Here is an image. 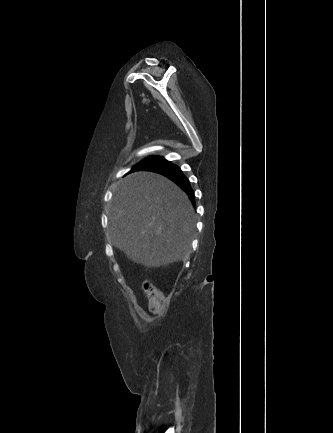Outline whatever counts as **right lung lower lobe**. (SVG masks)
Returning a JSON list of instances; mask_svg holds the SVG:
<instances>
[{"label": "right lung lower lobe", "instance_id": "obj_1", "mask_svg": "<svg viewBox=\"0 0 333 433\" xmlns=\"http://www.w3.org/2000/svg\"><path fill=\"white\" fill-rule=\"evenodd\" d=\"M137 170H150L166 176L171 181L176 183L182 190H184L189 195L193 203L195 202L193 189L188 179L185 177L180 168L170 161H167L164 158H158L152 162L145 163L140 167L133 169L132 171Z\"/></svg>", "mask_w": 333, "mask_h": 433}]
</instances>
